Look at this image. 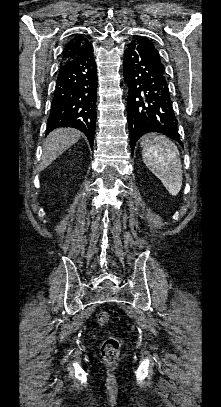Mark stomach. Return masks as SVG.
Here are the masks:
<instances>
[{
	"mask_svg": "<svg viewBox=\"0 0 221 407\" xmlns=\"http://www.w3.org/2000/svg\"><path fill=\"white\" fill-rule=\"evenodd\" d=\"M149 138H151V136L146 137V138L143 140L142 145H145V144H146V142H147V140H148Z\"/></svg>",
	"mask_w": 221,
	"mask_h": 407,
	"instance_id": "1",
	"label": "stomach"
}]
</instances>
